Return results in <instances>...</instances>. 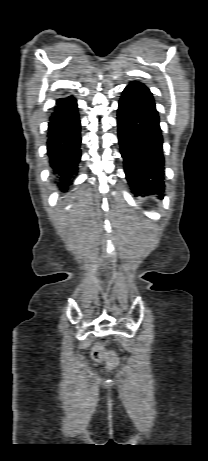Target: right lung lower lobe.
I'll list each match as a JSON object with an SVG mask.
<instances>
[{
    "instance_id": "obj_1",
    "label": "right lung lower lobe",
    "mask_w": 208,
    "mask_h": 461,
    "mask_svg": "<svg viewBox=\"0 0 208 461\" xmlns=\"http://www.w3.org/2000/svg\"><path fill=\"white\" fill-rule=\"evenodd\" d=\"M48 125L47 155L53 172L59 176L61 190L66 191L71 184L70 177L77 173L81 159L80 119L76 98H60Z\"/></svg>"
}]
</instances>
